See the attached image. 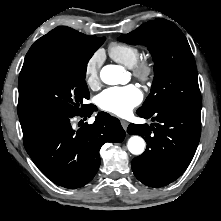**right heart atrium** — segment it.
Masks as SVG:
<instances>
[{
	"mask_svg": "<svg viewBox=\"0 0 221 221\" xmlns=\"http://www.w3.org/2000/svg\"><path fill=\"white\" fill-rule=\"evenodd\" d=\"M104 56L101 50L90 55L84 66V79L90 88H96L100 83V69Z\"/></svg>",
	"mask_w": 221,
	"mask_h": 221,
	"instance_id": "obj_1",
	"label": "right heart atrium"
}]
</instances>
